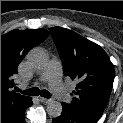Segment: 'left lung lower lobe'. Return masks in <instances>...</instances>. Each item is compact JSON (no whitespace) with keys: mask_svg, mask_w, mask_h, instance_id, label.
Listing matches in <instances>:
<instances>
[{"mask_svg":"<svg viewBox=\"0 0 123 123\" xmlns=\"http://www.w3.org/2000/svg\"><path fill=\"white\" fill-rule=\"evenodd\" d=\"M62 114L53 119V123H96L97 121L82 117L71 111L65 103H62Z\"/></svg>","mask_w":123,"mask_h":123,"instance_id":"1","label":"left lung lower lobe"}]
</instances>
